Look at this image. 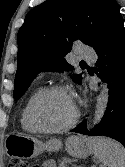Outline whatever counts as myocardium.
<instances>
[{
	"label": "myocardium",
	"instance_id": "f54148a6",
	"mask_svg": "<svg viewBox=\"0 0 125 167\" xmlns=\"http://www.w3.org/2000/svg\"><path fill=\"white\" fill-rule=\"evenodd\" d=\"M55 92L66 93L73 99L69 88L64 86V85L56 84V85H51V86H48V87L42 89L40 91V93L33 100L32 104L30 106V109H29V119H30L34 129L37 132L45 133V134L62 133V132L68 131L71 128H73L76 125V123L78 122L80 113H79V109L77 107V104L74 102V100H73V102H74V115H73L72 119L67 124H65L61 127H58V128H45L37 122L36 110H37L39 104L41 103V101L45 97H47L48 95L55 93Z\"/></svg>",
	"mask_w": 125,
	"mask_h": 167
}]
</instances>
